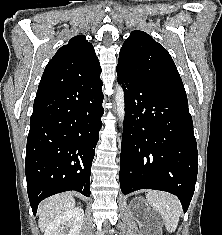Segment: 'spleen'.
<instances>
[{"label": "spleen", "mask_w": 222, "mask_h": 235, "mask_svg": "<svg viewBox=\"0 0 222 235\" xmlns=\"http://www.w3.org/2000/svg\"><path fill=\"white\" fill-rule=\"evenodd\" d=\"M146 199L164 220L167 231L175 232L182 214L179 199L170 193L161 191H149L146 194Z\"/></svg>", "instance_id": "spleen-1"}]
</instances>
